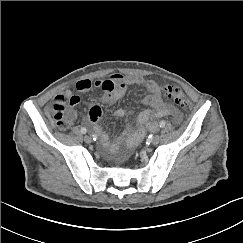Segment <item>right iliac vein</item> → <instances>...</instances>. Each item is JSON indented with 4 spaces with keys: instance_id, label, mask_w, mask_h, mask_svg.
I'll use <instances>...</instances> for the list:
<instances>
[{
    "instance_id": "obj_1",
    "label": "right iliac vein",
    "mask_w": 243,
    "mask_h": 243,
    "mask_svg": "<svg viewBox=\"0 0 243 243\" xmlns=\"http://www.w3.org/2000/svg\"><path fill=\"white\" fill-rule=\"evenodd\" d=\"M84 141H85L86 143H91V142H92V138H91L89 135H85V136H84Z\"/></svg>"
}]
</instances>
